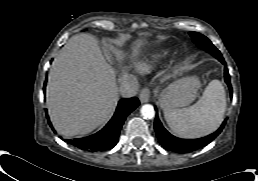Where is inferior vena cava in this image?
<instances>
[{
	"label": "inferior vena cava",
	"instance_id": "1",
	"mask_svg": "<svg viewBox=\"0 0 258 181\" xmlns=\"http://www.w3.org/2000/svg\"><path fill=\"white\" fill-rule=\"evenodd\" d=\"M139 83L137 79L131 75L121 76L118 79V92L123 97H133L137 94Z\"/></svg>",
	"mask_w": 258,
	"mask_h": 181
}]
</instances>
